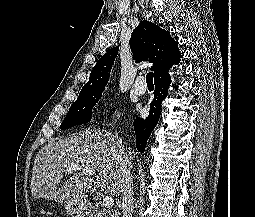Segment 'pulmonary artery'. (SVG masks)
Returning <instances> with one entry per match:
<instances>
[{
    "label": "pulmonary artery",
    "mask_w": 255,
    "mask_h": 217,
    "mask_svg": "<svg viewBox=\"0 0 255 217\" xmlns=\"http://www.w3.org/2000/svg\"><path fill=\"white\" fill-rule=\"evenodd\" d=\"M144 82L143 76H138L135 83H134V91L137 95H144L146 93V87L142 86L141 84Z\"/></svg>",
    "instance_id": "pulmonary-artery-1"
}]
</instances>
